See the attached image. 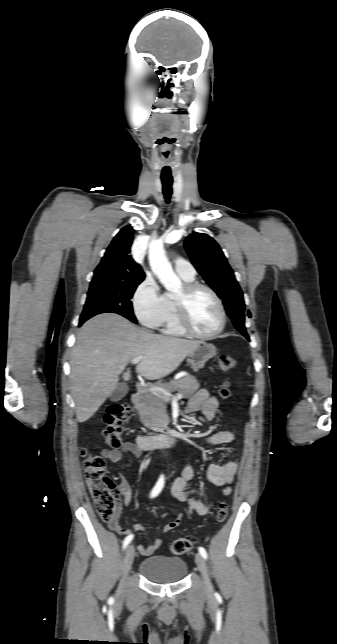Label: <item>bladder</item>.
<instances>
[{"label": "bladder", "mask_w": 337, "mask_h": 644, "mask_svg": "<svg viewBox=\"0 0 337 644\" xmlns=\"http://www.w3.org/2000/svg\"><path fill=\"white\" fill-rule=\"evenodd\" d=\"M139 572L151 582L174 583L181 581L186 576L187 564L177 557L155 555L142 560Z\"/></svg>", "instance_id": "1"}]
</instances>
